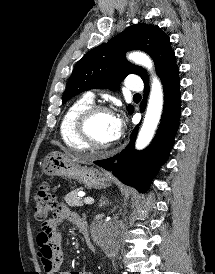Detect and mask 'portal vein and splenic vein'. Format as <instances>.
I'll return each instance as SVG.
<instances>
[{
	"instance_id": "1",
	"label": "portal vein and splenic vein",
	"mask_w": 215,
	"mask_h": 274,
	"mask_svg": "<svg viewBox=\"0 0 215 274\" xmlns=\"http://www.w3.org/2000/svg\"><path fill=\"white\" fill-rule=\"evenodd\" d=\"M84 203L87 205H91L94 203V199L92 197H86L84 198Z\"/></svg>"
}]
</instances>
